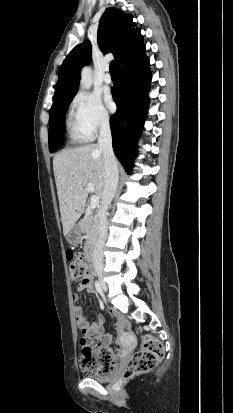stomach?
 Returning <instances> with one entry per match:
<instances>
[{"mask_svg": "<svg viewBox=\"0 0 233 413\" xmlns=\"http://www.w3.org/2000/svg\"><path fill=\"white\" fill-rule=\"evenodd\" d=\"M82 231L78 224H75L67 234V241L71 245H77L81 241Z\"/></svg>", "mask_w": 233, "mask_h": 413, "instance_id": "stomach-1", "label": "stomach"}]
</instances>
